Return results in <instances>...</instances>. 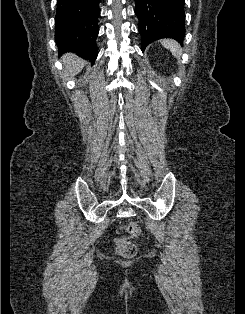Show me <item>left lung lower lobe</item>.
Wrapping results in <instances>:
<instances>
[{"label": "left lung lower lobe", "mask_w": 245, "mask_h": 314, "mask_svg": "<svg viewBox=\"0 0 245 314\" xmlns=\"http://www.w3.org/2000/svg\"><path fill=\"white\" fill-rule=\"evenodd\" d=\"M135 3L142 50L160 38L182 42L185 35L184 0H135Z\"/></svg>", "instance_id": "1"}]
</instances>
